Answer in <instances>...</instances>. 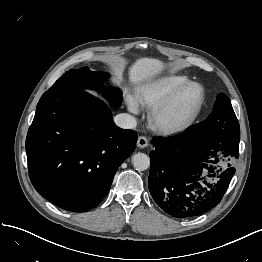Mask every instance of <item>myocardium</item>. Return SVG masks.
Returning <instances> with one entry per match:
<instances>
[{
    "label": "myocardium",
    "mask_w": 262,
    "mask_h": 262,
    "mask_svg": "<svg viewBox=\"0 0 262 262\" xmlns=\"http://www.w3.org/2000/svg\"><path fill=\"white\" fill-rule=\"evenodd\" d=\"M190 86H197L200 89V98L194 110L183 120L173 123L166 122L163 119V115L176 103L182 92ZM204 101L205 90L203 85L199 82L189 80L176 88L171 94H169L166 98H164L161 102L152 108L149 114V122L153 129L160 134L172 135L182 132L190 127L197 119L202 110Z\"/></svg>",
    "instance_id": "myocardium-1"
}]
</instances>
